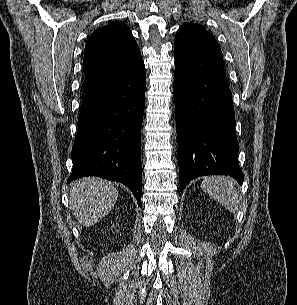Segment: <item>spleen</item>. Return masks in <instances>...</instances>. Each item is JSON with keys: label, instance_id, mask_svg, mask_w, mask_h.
I'll list each match as a JSON object with an SVG mask.
<instances>
[{"label": "spleen", "instance_id": "3e777b00", "mask_svg": "<svg viewBox=\"0 0 297 305\" xmlns=\"http://www.w3.org/2000/svg\"><path fill=\"white\" fill-rule=\"evenodd\" d=\"M202 189L214 200L235 212L239 204V194L233 181L224 176H210L203 179Z\"/></svg>", "mask_w": 297, "mask_h": 305}]
</instances>
